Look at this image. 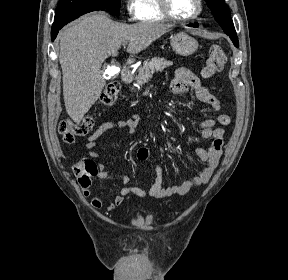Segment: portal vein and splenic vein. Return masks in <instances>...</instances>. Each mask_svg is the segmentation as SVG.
<instances>
[{"label":"portal vein and splenic vein","instance_id":"1","mask_svg":"<svg viewBox=\"0 0 288 280\" xmlns=\"http://www.w3.org/2000/svg\"><path fill=\"white\" fill-rule=\"evenodd\" d=\"M127 43H128V42H124V43H123V46L125 47V46L127 45Z\"/></svg>","mask_w":288,"mask_h":280}]
</instances>
